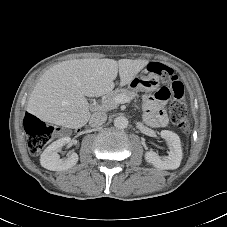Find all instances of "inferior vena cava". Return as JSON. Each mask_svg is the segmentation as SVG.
Returning <instances> with one entry per match:
<instances>
[{
  "label": "inferior vena cava",
  "mask_w": 227,
  "mask_h": 227,
  "mask_svg": "<svg viewBox=\"0 0 227 227\" xmlns=\"http://www.w3.org/2000/svg\"><path fill=\"white\" fill-rule=\"evenodd\" d=\"M107 120V114L104 112H95L92 114L89 120L91 127H99L103 125Z\"/></svg>",
  "instance_id": "inferior-vena-cava-1"
}]
</instances>
